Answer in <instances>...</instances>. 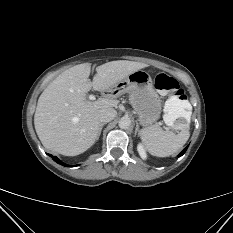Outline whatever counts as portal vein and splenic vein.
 Masks as SVG:
<instances>
[{
    "label": "portal vein and splenic vein",
    "mask_w": 233,
    "mask_h": 233,
    "mask_svg": "<svg viewBox=\"0 0 233 233\" xmlns=\"http://www.w3.org/2000/svg\"><path fill=\"white\" fill-rule=\"evenodd\" d=\"M89 99L93 101L96 99V97H95V95L91 94V95H89Z\"/></svg>",
    "instance_id": "portal-vein-and-splenic-vein-1"
}]
</instances>
